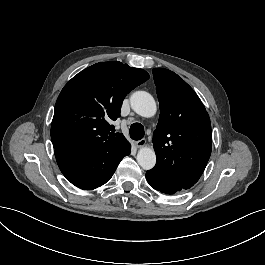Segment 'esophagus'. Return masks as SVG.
<instances>
[{
    "mask_svg": "<svg viewBox=\"0 0 265 265\" xmlns=\"http://www.w3.org/2000/svg\"><path fill=\"white\" fill-rule=\"evenodd\" d=\"M146 144V140L145 139H141L135 142L136 147H143Z\"/></svg>",
    "mask_w": 265,
    "mask_h": 265,
    "instance_id": "obj_1",
    "label": "esophagus"
}]
</instances>
